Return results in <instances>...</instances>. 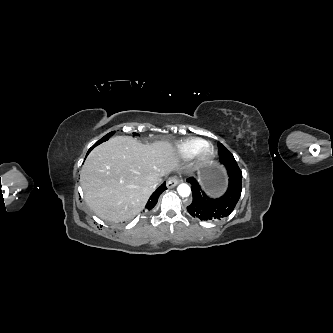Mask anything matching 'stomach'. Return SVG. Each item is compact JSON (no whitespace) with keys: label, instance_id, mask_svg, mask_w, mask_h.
I'll return each instance as SVG.
<instances>
[{"label":"stomach","instance_id":"0dacf381","mask_svg":"<svg viewBox=\"0 0 333 333\" xmlns=\"http://www.w3.org/2000/svg\"><path fill=\"white\" fill-rule=\"evenodd\" d=\"M198 176L204 189L211 196H218L225 190L227 177L221 166L217 164L209 165L200 169Z\"/></svg>","mask_w":333,"mask_h":333}]
</instances>
